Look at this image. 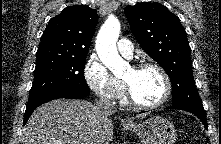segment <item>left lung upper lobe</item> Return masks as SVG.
Segmentation results:
<instances>
[{"instance_id": "left-lung-upper-lobe-1", "label": "left lung upper lobe", "mask_w": 221, "mask_h": 144, "mask_svg": "<svg viewBox=\"0 0 221 144\" xmlns=\"http://www.w3.org/2000/svg\"><path fill=\"white\" fill-rule=\"evenodd\" d=\"M124 12L141 47L168 74L172 105L203 109L193 80L187 33L180 19L157 2L127 6Z\"/></svg>"}]
</instances>
